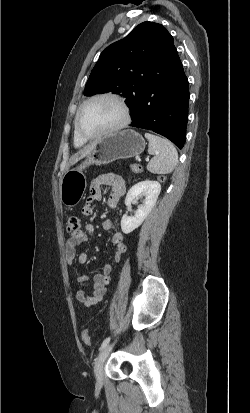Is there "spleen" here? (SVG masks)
Masks as SVG:
<instances>
[{"instance_id":"spleen-1","label":"spleen","mask_w":250,"mask_h":413,"mask_svg":"<svg viewBox=\"0 0 250 413\" xmlns=\"http://www.w3.org/2000/svg\"><path fill=\"white\" fill-rule=\"evenodd\" d=\"M149 141L148 153L153 155L147 169L155 174L171 173L178 162V153L174 145L167 139L145 133Z\"/></svg>"}]
</instances>
